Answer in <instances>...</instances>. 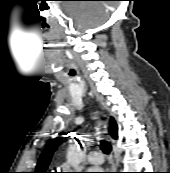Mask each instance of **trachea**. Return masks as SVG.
<instances>
[{"label": "trachea", "mask_w": 170, "mask_h": 173, "mask_svg": "<svg viewBox=\"0 0 170 173\" xmlns=\"http://www.w3.org/2000/svg\"><path fill=\"white\" fill-rule=\"evenodd\" d=\"M100 144H101V150L104 153L109 154L111 152L112 147H111V144L108 141L101 140Z\"/></svg>", "instance_id": "obj_1"}]
</instances>
